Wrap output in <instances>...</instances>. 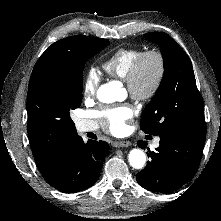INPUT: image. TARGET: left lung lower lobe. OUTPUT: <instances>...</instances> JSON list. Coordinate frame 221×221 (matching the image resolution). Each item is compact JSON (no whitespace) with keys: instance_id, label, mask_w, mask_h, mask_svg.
Returning a JSON list of instances; mask_svg holds the SVG:
<instances>
[{"instance_id":"0a47b994","label":"left lung lower lobe","mask_w":221,"mask_h":221,"mask_svg":"<svg viewBox=\"0 0 221 221\" xmlns=\"http://www.w3.org/2000/svg\"><path fill=\"white\" fill-rule=\"evenodd\" d=\"M206 133L172 131L160 136V146L147 155L151 160L136 175L145 189L171 193L190 181L196 174ZM139 147L145 142L139 141Z\"/></svg>"}]
</instances>
